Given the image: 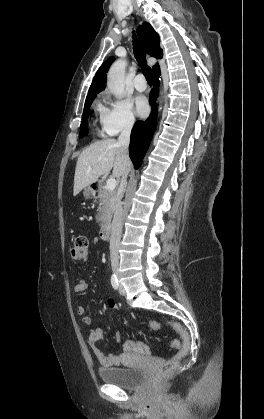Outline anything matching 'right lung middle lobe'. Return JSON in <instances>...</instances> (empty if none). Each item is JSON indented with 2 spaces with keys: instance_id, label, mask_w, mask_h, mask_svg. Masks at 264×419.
<instances>
[{
  "instance_id": "right-lung-middle-lobe-1",
  "label": "right lung middle lobe",
  "mask_w": 264,
  "mask_h": 419,
  "mask_svg": "<svg viewBox=\"0 0 264 419\" xmlns=\"http://www.w3.org/2000/svg\"><path fill=\"white\" fill-rule=\"evenodd\" d=\"M94 98H95V96L85 101V108H84V112H83L82 122H81V125H80L81 130H80V133H79V137H82V136H84L85 134L88 133V129H87L88 121H87V119H88V115H89V108H90Z\"/></svg>"
}]
</instances>
